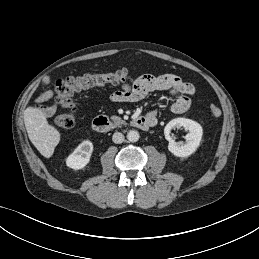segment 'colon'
I'll return each mask as SVG.
<instances>
[{
    "mask_svg": "<svg viewBox=\"0 0 259 259\" xmlns=\"http://www.w3.org/2000/svg\"><path fill=\"white\" fill-rule=\"evenodd\" d=\"M133 71L130 69H121L110 73L91 74L80 77H68L60 79L56 83V102L64 109L55 120L57 127L61 130H70L76 124V106L73 101V95L81 90L91 87L102 86L105 84H119L128 80ZM209 112L213 117L221 114L220 109L211 105Z\"/></svg>",
    "mask_w": 259,
    "mask_h": 259,
    "instance_id": "colon-1",
    "label": "colon"
}]
</instances>
